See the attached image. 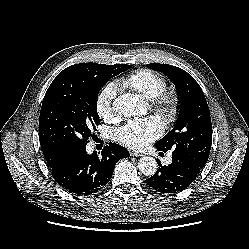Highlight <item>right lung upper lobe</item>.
Masks as SVG:
<instances>
[{
    "label": "right lung upper lobe",
    "mask_w": 249,
    "mask_h": 249,
    "mask_svg": "<svg viewBox=\"0 0 249 249\" xmlns=\"http://www.w3.org/2000/svg\"><path fill=\"white\" fill-rule=\"evenodd\" d=\"M94 63H81V64H76L81 67L87 68L89 70L92 69ZM44 157L48 163V165L51 168H55L59 164H61L64 160H66L71 154H65V153H53V152H43Z\"/></svg>",
    "instance_id": "cb5924a9"
}]
</instances>
